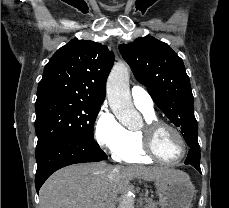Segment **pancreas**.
<instances>
[{
  "label": "pancreas",
  "mask_w": 229,
  "mask_h": 208,
  "mask_svg": "<svg viewBox=\"0 0 229 208\" xmlns=\"http://www.w3.org/2000/svg\"><path fill=\"white\" fill-rule=\"evenodd\" d=\"M145 208H158V202H154L152 198H145Z\"/></svg>",
  "instance_id": "obj_1"
}]
</instances>
